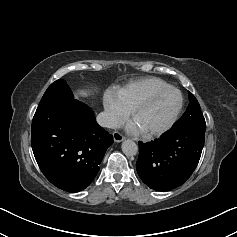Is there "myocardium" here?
<instances>
[{"label":"myocardium","instance_id":"myocardium-1","mask_svg":"<svg viewBox=\"0 0 237 237\" xmlns=\"http://www.w3.org/2000/svg\"><path fill=\"white\" fill-rule=\"evenodd\" d=\"M168 91H175L179 95L178 108L176 109V111L174 112V114L172 115L170 120L164 126L158 128V129H154V130H146V131L139 130V132L141 133L142 136H144L146 138L160 136V135L164 134L165 132H167L168 130H170L175 125L177 120L179 119L181 112L183 110V106H184V97H183L182 92L178 88L173 87V86H167L165 88L151 92L148 95H146L145 97H143L141 100H139L130 110V119L133 122V119L135 118L136 114L140 110H142L144 107H146L148 104H150L155 98H157L158 96H160Z\"/></svg>","mask_w":237,"mask_h":237}]
</instances>
